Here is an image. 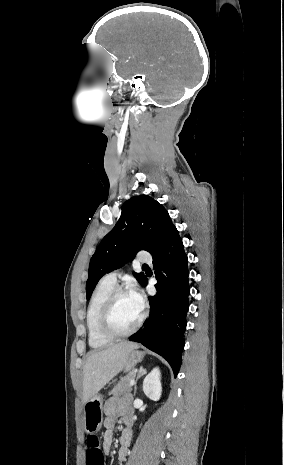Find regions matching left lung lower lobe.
<instances>
[{"label": "left lung lower lobe", "mask_w": 284, "mask_h": 465, "mask_svg": "<svg viewBox=\"0 0 284 465\" xmlns=\"http://www.w3.org/2000/svg\"><path fill=\"white\" fill-rule=\"evenodd\" d=\"M153 257L157 294L149 297L151 306L145 327L130 337L164 357L175 377L181 365L186 315L189 309L188 258L179 232H175L163 249ZM147 278L141 283L146 286Z\"/></svg>", "instance_id": "obj_1"}]
</instances>
